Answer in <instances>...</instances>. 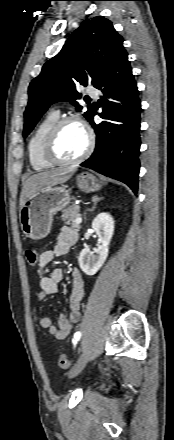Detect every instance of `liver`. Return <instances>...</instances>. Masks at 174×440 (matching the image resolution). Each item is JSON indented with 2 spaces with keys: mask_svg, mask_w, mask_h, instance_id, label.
Instances as JSON below:
<instances>
[{
  "mask_svg": "<svg viewBox=\"0 0 174 440\" xmlns=\"http://www.w3.org/2000/svg\"><path fill=\"white\" fill-rule=\"evenodd\" d=\"M66 171L49 170L29 177L24 183L21 191L19 206L20 210L25 201L41 189L57 184H62L70 179Z\"/></svg>",
  "mask_w": 174,
  "mask_h": 440,
  "instance_id": "1",
  "label": "liver"
}]
</instances>
